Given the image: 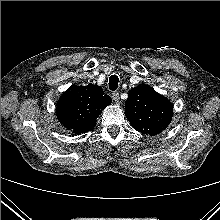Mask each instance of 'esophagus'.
<instances>
[{"instance_id": "obj_1", "label": "esophagus", "mask_w": 220, "mask_h": 220, "mask_svg": "<svg viewBox=\"0 0 220 220\" xmlns=\"http://www.w3.org/2000/svg\"><path fill=\"white\" fill-rule=\"evenodd\" d=\"M112 98L115 101V103H119L120 101V94L118 92L112 93Z\"/></svg>"}]
</instances>
